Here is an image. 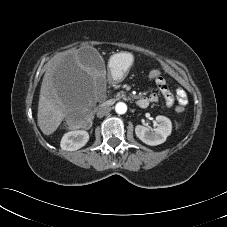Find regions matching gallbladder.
<instances>
[{
	"mask_svg": "<svg viewBox=\"0 0 227 227\" xmlns=\"http://www.w3.org/2000/svg\"><path fill=\"white\" fill-rule=\"evenodd\" d=\"M80 61L83 65L93 68L96 73L101 74L104 72L103 59L99 52L91 47L83 48L79 52Z\"/></svg>",
	"mask_w": 227,
	"mask_h": 227,
	"instance_id": "gallbladder-1",
	"label": "gallbladder"
}]
</instances>
